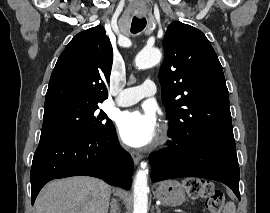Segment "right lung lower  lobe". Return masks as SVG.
<instances>
[{
	"instance_id": "98d812e1",
	"label": "right lung lower lobe",
	"mask_w": 270,
	"mask_h": 213,
	"mask_svg": "<svg viewBox=\"0 0 270 213\" xmlns=\"http://www.w3.org/2000/svg\"><path fill=\"white\" fill-rule=\"evenodd\" d=\"M131 156L119 145L115 127L98 136L41 135L31 167V199L50 180L87 175L130 189Z\"/></svg>"
}]
</instances>
